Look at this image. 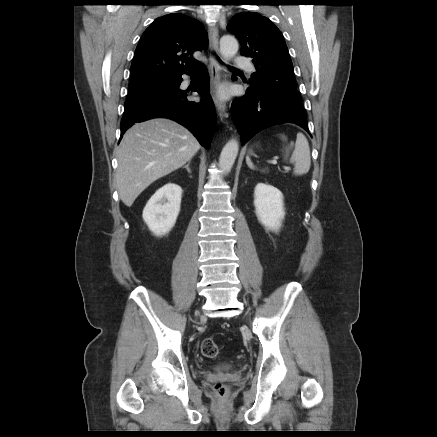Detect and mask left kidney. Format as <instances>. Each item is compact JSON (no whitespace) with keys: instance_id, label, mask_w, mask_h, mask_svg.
Wrapping results in <instances>:
<instances>
[{"instance_id":"5707ae66","label":"left kidney","mask_w":437,"mask_h":437,"mask_svg":"<svg viewBox=\"0 0 437 437\" xmlns=\"http://www.w3.org/2000/svg\"><path fill=\"white\" fill-rule=\"evenodd\" d=\"M254 206L259 222L267 229L278 231L285 216L283 194L265 183H258L254 190Z\"/></svg>"}]
</instances>
